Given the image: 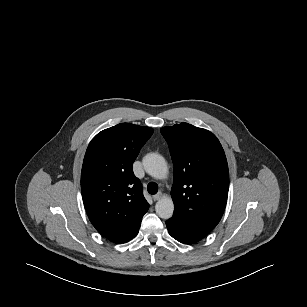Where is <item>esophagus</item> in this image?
Listing matches in <instances>:
<instances>
[{"label": "esophagus", "mask_w": 307, "mask_h": 307, "mask_svg": "<svg viewBox=\"0 0 307 307\" xmlns=\"http://www.w3.org/2000/svg\"><path fill=\"white\" fill-rule=\"evenodd\" d=\"M162 196H163V193H162V192H159V193H157L156 195H153V200H154V201H157V200L161 199Z\"/></svg>", "instance_id": "1"}]
</instances>
